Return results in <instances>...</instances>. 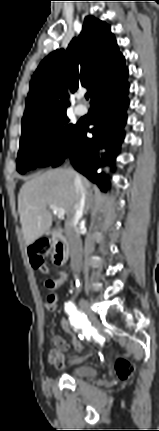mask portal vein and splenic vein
<instances>
[{"instance_id":"portal-vein-and-splenic-vein-1","label":"portal vein and splenic vein","mask_w":159,"mask_h":431,"mask_svg":"<svg viewBox=\"0 0 159 431\" xmlns=\"http://www.w3.org/2000/svg\"><path fill=\"white\" fill-rule=\"evenodd\" d=\"M49 208L56 213L59 217H64L65 215V210L63 208H58L55 205H50Z\"/></svg>"}]
</instances>
